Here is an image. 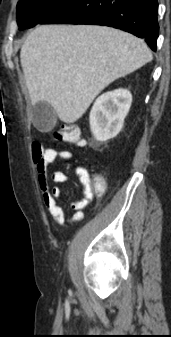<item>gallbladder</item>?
I'll use <instances>...</instances> for the list:
<instances>
[{
    "label": "gallbladder",
    "instance_id": "1",
    "mask_svg": "<svg viewBox=\"0 0 171 337\" xmlns=\"http://www.w3.org/2000/svg\"><path fill=\"white\" fill-rule=\"evenodd\" d=\"M57 121L53 107L47 102H38L33 106V124L40 131L51 130Z\"/></svg>",
    "mask_w": 171,
    "mask_h": 337
}]
</instances>
